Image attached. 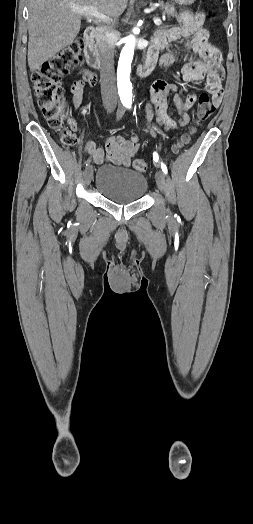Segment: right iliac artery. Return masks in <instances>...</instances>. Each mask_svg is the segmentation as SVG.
<instances>
[{
	"label": "right iliac artery",
	"instance_id": "1",
	"mask_svg": "<svg viewBox=\"0 0 253 524\" xmlns=\"http://www.w3.org/2000/svg\"><path fill=\"white\" fill-rule=\"evenodd\" d=\"M125 110H126V109H125V105H124V104H123V105H120V106L118 107L117 112H116V121H119V120L122 118V116H123L124 113H125ZM90 161H91L90 158H88L87 161H85V169L89 166Z\"/></svg>",
	"mask_w": 253,
	"mask_h": 524
}]
</instances>
